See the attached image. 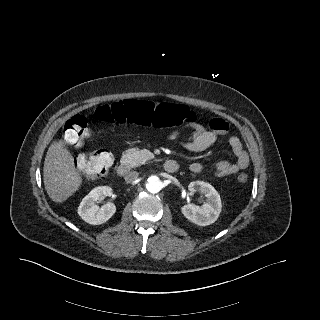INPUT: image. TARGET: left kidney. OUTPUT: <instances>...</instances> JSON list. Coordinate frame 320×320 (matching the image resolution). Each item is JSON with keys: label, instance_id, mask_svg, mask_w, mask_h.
Listing matches in <instances>:
<instances>
[{"label": "left kidney", "instance_id": "obj_1", "mask_svg": "<svg viewBox=\"0 0 320 320\" xmlns=\"http://www.w3.org/2000/svg\"><path fill=\"white\" fill-rule=\"evenodd\" d=\"M188 189L191 193L199 192L207 200L202 206L193 203L184 205L181 211L185 218L199 226H207L214 223L218 219L222 209L219 193L211 184L203 181L191 182Z\"/></svg>", "mask_w": 320, "mask_h": 320}]
</instances>
